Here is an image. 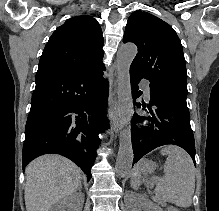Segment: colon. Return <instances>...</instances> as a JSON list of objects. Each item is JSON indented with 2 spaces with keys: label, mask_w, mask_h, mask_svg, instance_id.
<instances>
[{
  "label": "colon",
  "mask_w": 219,
  "mask_h": 211,
  "mask_svg": "<svg viewBox=\"0 0 219 211\" xmlns=\"http://www.w3.org/2000/svg\"><path fill=\"white\" fill-rule=\"evenodd\" d=\"M164 211H179V210L174 206H165Z\"/></svg>",
  "instance_id": "colon-1"
}]
</instances>
